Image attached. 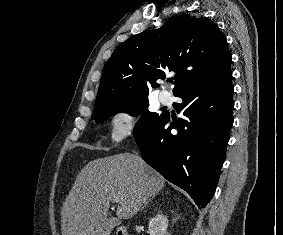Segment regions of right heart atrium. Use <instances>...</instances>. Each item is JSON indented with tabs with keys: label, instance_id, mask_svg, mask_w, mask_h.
I'll list each match as a JSON object with an SVG mask.
<instances>
[{
	"label": "right heart atrium",
	"instance_id": "d8ad5b80",
	"mask_svg": "<svg viewBox=\"0 0 283 235\" xmlns=\"http://www.w3.org/2000/svg\"><path fill=\"white\" fill-rule=\"evenodd\" d=\"M136 113L128 108H122L116 111L111 117V137L113 142L119 143L129 136L136 124Z\"/></svg>",
	"mask_w": 283,
	"mask_h": 235
}]
</instances>
